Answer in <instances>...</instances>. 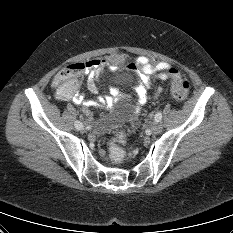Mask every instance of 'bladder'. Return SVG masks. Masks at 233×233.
<instances>
[{"label": "bladder", "instance_id": "obj_1", "mask_svg": "<svg viewBox=\"0 0 233 233\" xmlns=\"http://www.w3.org/2000/svg\"><path fill=\"white\" fill-rule=\"evenodd\" d=\"M131 118V109L124 105L114 109L107 117L102 118L98 123L101 132H108L119 128Z\"/></svg>", "mask_w": 233, "mask_h": 233}]
</instances>
